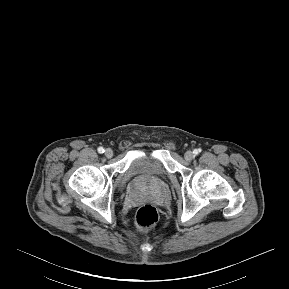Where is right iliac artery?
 <instances>
[{
    "instance_id": "82829eb1",
    "label": "right iliac artery",
    "mask_w": 289,
    "mask_h": 289,
    "mask_svg": "<svg viewBox=\"0 0 289 289\" xmlns=\"http://www.w3.org/2000/svg\"><path fill=\"white\" fill-rule=\"evenodd\" d=\"M104 151H105V150H104L103 147H99V148H98V152H99L100 154L104 153Z\"/></svg>"
}]
</instances>
